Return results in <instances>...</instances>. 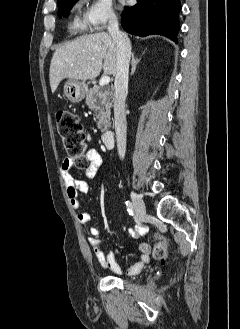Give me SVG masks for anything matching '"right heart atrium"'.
I'll list each match as a JSON object with an SVG mask.
<instances>
[{
    "label": "right heart atrium",
    "instance_id": "obj_1",
    "mask_svg": "<svg viewBox=\"0 0 240 329\" xmlns=\"http://www.w3.org/2000/svg\"><path fill=\"white\" fill-rule=\"evenodd\" d=\"M116 19L112 0H92L86 10L84 21L91 30L99 32Z\"/></svg>",
    "mask_w": 240,
    "mask_h": 329
}]
</instances>
